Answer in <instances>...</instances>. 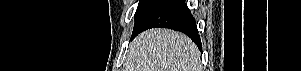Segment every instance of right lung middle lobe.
<instances>
[{
  "mask_svg": "<svg viewBox=\"0 0 301 71\" xmlns=\"http://www.w3.org/2000/svg\"><path fill=\"white\" fill-rule=\"evenodd\" d=\"M160 0H140L136 13H135V31L140 23L143 21L146 14L159 2Z\"/></svg>",
  "mask_w": 301,
  "mask_h": 71,
  "instance_id": "obj_1",
  "label": "right lung middle lobe"
}]
</instances>
